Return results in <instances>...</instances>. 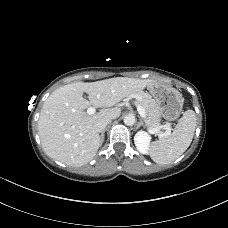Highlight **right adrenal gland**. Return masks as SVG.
<instances>
[{"mask_svg": "<svg viewBox=\"0 0 228 228\" xmlns=\"http://www.w3.org/2000/svg\"><path fill=\"white\" fill-rule=\"evenodd\" d=\"M104 137H105V130L102 131L101 135H100V145L103 144L104 142Z\"/></svg>", "mask_w": 228, "mask_h": 228, "instance_id": "2a0ac1e0", "label": "right adrenal gland"}]
</instances>
